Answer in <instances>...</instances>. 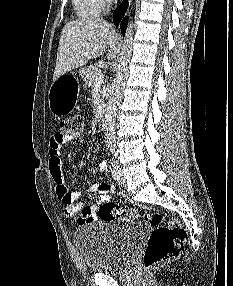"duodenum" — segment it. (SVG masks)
I'll return each instance as SVG.
<instances>
[{"mask_svg": "<svg viewBox=\"0 0 233 286\" xmlns=\"http://www.w3.org/2000/svg\"><path fill=\"white\" fill-rule=\"evenodd\" d=\"M98 125L101 130L106 127V115L104 110H100L98 113Z\"/></svg>", "mask_w": 233, "mask_h": 286, "instance_id": "1", "label": "duodenum"}]
</instances>
